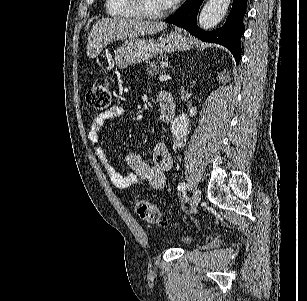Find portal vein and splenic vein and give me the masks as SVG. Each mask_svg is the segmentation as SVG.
Here are the masks:
<instances>
[{
    "label": "portal vein and splenic vein",
    "instance_id": "obj_1",
    "mask_svg": "<svg viewBox=\"0 0 307 301\" xmlns=\"http://www.w3.org/2000/svg\"><path fill=\"white\" fill-rule=\"evenodd\" d=\"M167 78H170L168 74H161V76H159V80H167Z\"/></svg>",
    "mask_w": 307,
    "mask_h": 301
}]
</instances>
